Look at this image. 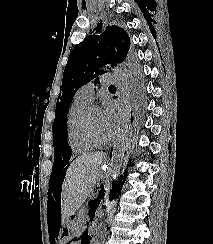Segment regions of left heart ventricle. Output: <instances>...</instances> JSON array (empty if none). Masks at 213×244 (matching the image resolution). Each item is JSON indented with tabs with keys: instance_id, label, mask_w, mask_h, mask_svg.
Returning a JSON list of instances; mask_svg holds the SVG:
<instances>
[{
	"instance_id": "b2bd125f",
	"label": "left heart ventricle",
	"mask_w": 213,
	"mask_h": 244,
	"mask_svg": "<svg viewBox=\"0 0 213 244\" xmlns=\"http://www.w3.org/2000/svg\"><path fill=\"white\" fill-rule=\"evenodd\" d=\"M90 121L95 133L100 138H106L110 136L111 132L103 124L101 110L97 107H92L90 110Z\"/></svg>"
}]
</instances>
